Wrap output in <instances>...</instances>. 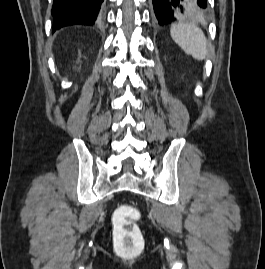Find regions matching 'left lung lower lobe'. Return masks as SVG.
Returning a JSON list of instances; mask_svg holds the SVG:
<instances>
[{
	"label": "left lung lower lobe",
	"instance_id": "0a47b994",
	"mask_svg": "<svg viewBox=\"0 0 265 269\" xmlns=\"http://www.w3.org/2000/svg\"><path fill=\"white\" fill-rule=\"evenodd\" d=\"M159 25L181 19H201L208 13L207 0H152Z\"/></svg>",
	"mask_w": 265,
	"mask_h": 269
}]
</instances>
